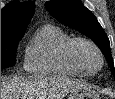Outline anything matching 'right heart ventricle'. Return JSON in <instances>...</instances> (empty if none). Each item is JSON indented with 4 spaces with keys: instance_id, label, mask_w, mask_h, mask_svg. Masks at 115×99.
I'll return each mask as SVG.
<instances>
[{
    "instance_id": "1",
    "label": "right heart ventricle",
    "mask_w": 115,
    "mask_h": 99,
    "mask_svg": "<svg viewBox=\"0 0 115 99\" xmlns=\"http://www.w3.org/2000/svg\"><path fill=\"white\" fill-rule=\"evenodd\" d=\"M71 39V35L59 26L43 25L27 49L26 71L36 75L81 76L65 56V47Z\"/></svg>"
}]
</instances>
